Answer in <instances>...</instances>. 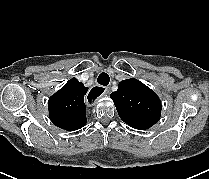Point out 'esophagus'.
Returning <instances> with one entry per match:
<instances>
[{"instance_id":"1","label":"esophagus","mask_w":209,"mask_h":179,"mask_svg":"<svg viewBox=\"0 0 209 179\" xmlns=\"http://www.w3.org/2000/svg\"><path fill=\"white\" fill-rule=\"evenodd\" d=\"M108 94H110V88L109 87H105L104 89L100 88V87H94L90 91V95H89L87 100H88L89 103L92 104L96 101V98H97L96 96H99V95L107 96Z\"/></svg>"}]
</instances>
